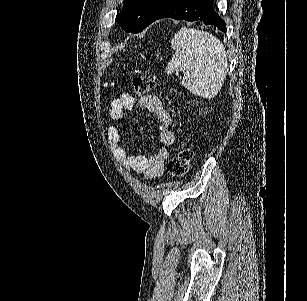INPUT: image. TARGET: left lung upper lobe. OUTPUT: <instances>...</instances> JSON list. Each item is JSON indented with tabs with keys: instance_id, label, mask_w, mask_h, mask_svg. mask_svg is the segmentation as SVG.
I'll return each mask as SVG.
<instances>
[{
	"instance_id": "obj_1",
	"label": "left lung upper lobe",
	"mask_w": 307,
	"mask_h": 301,
	"mask_svg": "<svg viewBox=\"0 0 307 301\" xmlns=\"http://www.w3.org/2000/svg\"><path fill=\"white\" fill-rule=\"evenodd\" d=\"M178 0H124L117 15L118 24L126 31L141 32Z\"/></svg>"
}]
</instances>
